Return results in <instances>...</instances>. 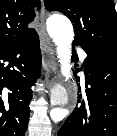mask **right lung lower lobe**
Segmentation results:
<instances>
[{"mask_svg":"<svg viewBox=\"0 0 117 136\" xmlns=\"http://www.w3.org/2000/svg\"><path fill=\"white\" fill-rule=\"evenodd\" d=\"M40 65L36 31L0 49V136H24L32 99L30 87L39 77Z\"/></svg>","mask_w":117,"mask_h":136,"instance_id":"right-lung-lower-lobe-1","label":"right lung lower lobe"}]
</instances>
